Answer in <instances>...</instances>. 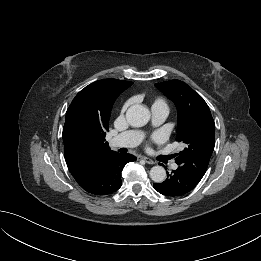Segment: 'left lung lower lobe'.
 <instances>
[{
  "mask_svg": "<svg viewBox=\"0 0 261 261\" xmlns=\"http://www.w3.org/2000/svg\"><path fill=\"white\" fill-rule=\"evenodd\" d=\"M200 182L190 172L179 166L171 173L167 172V179L161 183H154L156 191L166 196H182L196 187Z\"/></svg>",
  "mask_w": 261,
  "mask_h": 261,
  "instance_id": "1",
  "label": "left lung lower lobe"
}]
</instances>
